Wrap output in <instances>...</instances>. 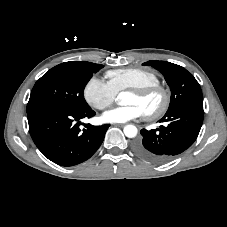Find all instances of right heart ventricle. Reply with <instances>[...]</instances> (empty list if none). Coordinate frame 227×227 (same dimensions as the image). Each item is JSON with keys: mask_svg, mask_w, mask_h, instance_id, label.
<instances>
[{"mask_svg": "<svg viewBox=\"0 0 227 227\" xmlns=\"http://www.w3.org/2000/svg\"><path fill=\"white\" fill-rule=\"evenodd\" d=\"M107 83L117 94L120 91L132 88H141L159 84L157 75L142 68H123L106 72Z\"/></svg>", "mask_w": 227, "mask_h": 227, "instance_id": "1", "label": "right heart ventricle"}]
</instances>
